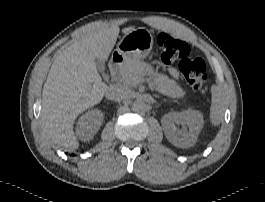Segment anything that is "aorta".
Segmentation results:
<instances>
[{
    "mask_svg": "<svg viewBox=\"0 0 265 202\" xmlns=\"http://www.w3.org/2000/svg\"><path fill=\"white\" fill-rule=\"evenodd\" d=\"M132 110L137 113L144 112L146 110V103L143 100L137 99L132 103Z\"/></svg>",
    "mask_w": 265,
    "mask_h": 202,
    "instance_id": "762f6f07",
    "label": "aorta"
}]
</instances>
